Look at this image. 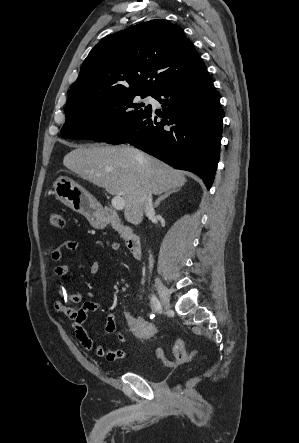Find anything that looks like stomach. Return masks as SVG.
<instances>
[{"mask_svg":"<svg viewBox=\"0 0 299 443\" xmlns=\"http://www.w3.org/2000/svg\"><path fill=\"white\" fill-rule=\"evenodd\" d=\"M54 193L63 204L86 216L94 227L106 226L107 220L101 214L95 198L70 178L58 177L54 182Z\"/></svg>","mask_w":299,"mask_h":443,"instance_id":"0dacf381","label":"stomach"}]
</instances>
